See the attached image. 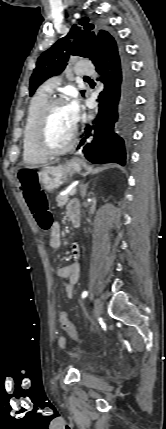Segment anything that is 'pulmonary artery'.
<instances>
[{
  "instance_id": "e3ab8cb5",
  "label": "pulmonary artery",
  "mask_w": 166,
  "mask_h": 429,
  "mask_svg": "<svg viewBox=\"0 0 166 429\" xmlns=\"http://www.w3.org/2000/svg\"><path fill=\"white\" fill-rule=\"evenodd\" d=\"M75 73L78 76H88L93 73V68L85 62H79L75 66ZM58 83V79H53L51 82H49L46 86H44L43 90L47 92H51L55 85Z\"/></svg>"
}]
</instances>
